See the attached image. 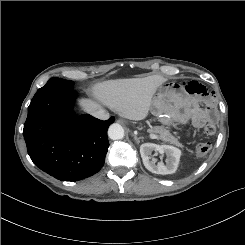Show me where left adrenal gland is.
<instances>
[{"label": "left adrenal gland", "mask_w": 245, "mask_h": 245, "mask_svg": "<svg viewBox=\"0 0 245 245\" xmlns=\"http://www.w3.org/2000/svg\"><path fill=\"white\" fill-rule=\"evenodd\" d=\"M134 136V140L136 141L137 144L140 143V139H143V137H137L136 135H133Z\"/></svg>", "instance_id": "a2214340"}]
</instances>
